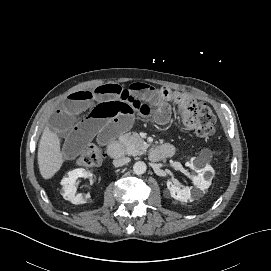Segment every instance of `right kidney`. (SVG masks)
I'll return each mask as SVG.
<instances>
[{
    "label": "right kidney",
    "mask_w": 271,
    "mask_h": 271,
    "mask_svg": "<svg viewBox=\"0 0 271 271\" xmlns=\"http://www.w3.org/2000/svg\"><path fill=\"white\" fill-rule=\"evenodd\" d=\"M67 177H64L61 181L62 184V196L65 200L70 201L73 204H84L90 198L89 194L83 195L82 193L76 194L77 187L75 185L76 179L79 177L88 178L92 177L90 171H86L83 168L71 170L67 173Z\"/></svg>",
    "instance_id": "right-kidney-1"
}]
</instances>
